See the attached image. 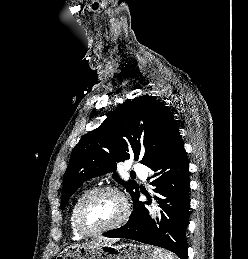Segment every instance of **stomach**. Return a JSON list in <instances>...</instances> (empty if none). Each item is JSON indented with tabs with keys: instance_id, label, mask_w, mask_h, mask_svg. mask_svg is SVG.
<instances>
[{
	"instance_id": "stomach-1",
	"label": "stomach",
	"mask_w": 248,
	"mask_h": 259,
	"mask_svg": "<svg viewBox=\"0 0 248 259\" xmlns=\"http://www.w3.org/2000/svg\"><path fill=\"white\" fill-rule=\"evenodd\" d=\"M155 247L126 244H104L95 247L71 246L60 252L56 259H158Z\"/></svg>"
}]
</instances>
